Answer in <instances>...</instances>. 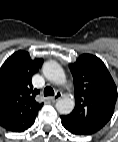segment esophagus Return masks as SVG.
I'll use <instances>...</instances> for the list:
<instances>
[{
	"mask_svg": "<svg viewBox=\"0 0 118 142\" xmlns=\"http://www.w3.org/2000/svg\"><path fill=\"white\" fill-rule=\"evenodd\" d=\"M61 97H62V93L57 92L54 96L50 97L49 100L54 103L57 100H59Z\"/></svg>",
	"mask_w": 118,
	"mask_h": 142,
	"instance_id": "obj_1",
	"label": "esophagus"
}]
</instances>
